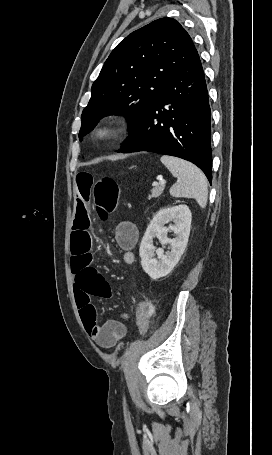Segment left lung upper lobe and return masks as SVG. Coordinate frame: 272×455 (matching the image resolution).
<instances>
[{
    "mask_svg": "<svg viewBox=\"0 0 272 455\" xmlns=\"http://www.w3.org/2000/svg\"><path fill=\"white\" fill-rule=\"evenodd\" d=\"M197 56L191 37L172 18L157 19L132 32L111 52L92 85L80 139L110 114L126 116L131 131L169 79Z\"/></svg>",
    "mask_w": 272,
    "mask_h": 455,
    "instance_id": "obj_1",
    "label": "left lung upper lobe"
}]
</instances>
